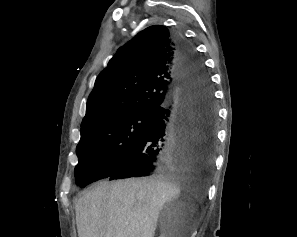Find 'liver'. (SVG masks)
<instances>
[{
	"label": "liver",
	"mask_w": 297,
	"mask_h": 237,
	"mask_svg": "<svg viewBox=\"0 0 297 237\" xmlns=\"http://www.w3.org/2000/svg\"><path fill=\"white\" fill-rule=\"evenodd\" d=\"M182 189L194 191L190 176L171 174L100 182L77 201L79 237H154L164 204Z\"/></svg>",
	"instance_id": "liver-1"
}]
</instances>
